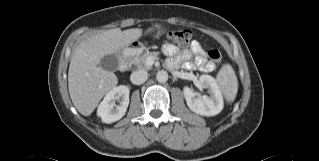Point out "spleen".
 I'll return each instance as SVG.
<instances>
[{"mask_svg": "<svg viewBox=\"0 0 319 161\" xmlns=\"http://www.w3.org/2000/svg\"><path fill=\"white\" fill-rule=\"evenodd\" d=\"M216 81L228 102H233L238 91V80L230 64H224L216 76Z\"/></svg>", "mask_w": 319, "mask_h": 161, "instance_id": "3e777b00", "label": "spleen"}]
</instances>
